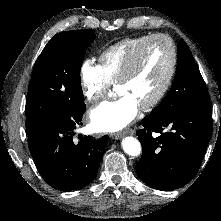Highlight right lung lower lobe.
<instances>
[{
  "label": "right lung lower lobe",
  "mask_w": 221,
  "mask_h": 221,
  "mask_svg": "<svg viewBox=\"0 0 221 221\" xmlns=\"http://www.w3.org/2000/svg\"><path fill=\"white\" fill-rule=\"evenodd\" d=\"M85 110L52 114L28 135L38 171L57 190H78L91 183L104 154L107 135L99 139L84 136L78 144L73 142V131L82 125Z\"/></svg>",
  "instance_id": "obj_1"
}]
</instances>
